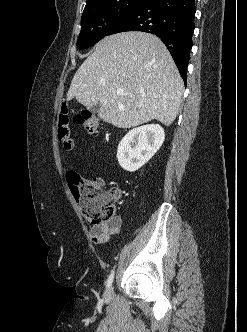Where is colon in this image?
Masks as SVG:
<instances>
[{
	"instance_id": "obj_1",
	"label": "colon",
	"mask_w": 247,
	"mask_h": 332,
	"mask_svg": "<svg viewBox=\"0 0 247 332\" xmlns=\"http://www.w3.org/2000/svg\"><path fill=\"white\" fill-rule=\"evenodd\" d=\"M73 120L82 125L89 134H95L100 124L98 117L90 112L77 114ZM70 123L71 107L69 102L64 101L58 118V138L66 150H71L74 145ZM68 181L76 202L88 221L94 225H102L114 217L115 195L106 187L102 178L82 179L77 173L71 172Z\"/></svg>"
}]
</instances>
